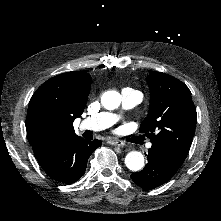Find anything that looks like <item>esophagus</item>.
<instances>
[{
	"label": "esophagus",
	"mask_w": 221,
	"mask_h": 221,
	"mask_svg": "<svg viewBox=\"0 0 221 221\" xmlns=\"http://www.w3.org/2000/svg\"><path fill=\"white\" fill-rule=\"evenodd\" d=\"M107 143L109 145H113V146H117V147H124L125 146V144L122 141L118 140V139H109L107 141Z\"/></svg>",
	"instance_id": "34e87169"
}]
</instances>
